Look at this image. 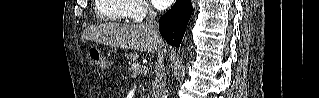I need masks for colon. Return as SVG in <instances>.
I'll list each match as a JSON object with an SVG mask.
<instances>
[{
	"label": "colon",
	"mask_w": 319,
	"mask_h": 98,
	"mask_svg": "<svg viewBox=\"0 0 319 98\" xmlns=\"http://www.w3.org/2000/svg\"><path fill=\"white\" fill-rule=\"evenodd\" d=\"M90 58L92 62L98 66L99 68H107L108 62L106 58L100 53V51L96 48H91L89 51Z\"/></svg>",
	"instance_id": "1"
}]
</instances>
